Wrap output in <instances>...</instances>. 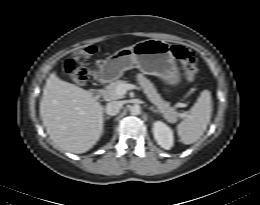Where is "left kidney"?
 I'll use <instances>...</instances> for the list:
<instances>
[{
	"instance_id": "5707ae66",
	"label": "left kidney",
	"mask_w": 260,
	"mask_h": 205,
	"mask_svg": "<svg viewBox=\"0 0 260 205\" xmlns=\"http://www.w3.org/2000/svg\"><path fill=\"white\" fill-rule=\"evenodd\" d=\"M152 130L155 140L162 148L169 150L173 146L174 138L170 127L161 121H156Z\"/></svg>"
}]
</instances>
